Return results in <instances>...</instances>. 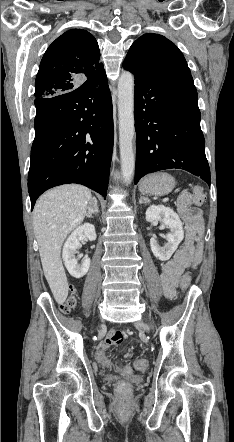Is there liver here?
I'll return each mask as SVG.
<instances>
[{"mask_svg":"<svg viewBox=\"0 0 234 442\" xmlns=\"http://www.w3.org/2000/svg\"><path fill=\"white\" fill-rule=\"evenodd\" d=\"M91 191L78 184L53 188L34 207L33 228L44 275L58 304L68 296V281L61 260V246L87 214Z\"/></svg>","mask_w":234,"mask_h":442,"instance_id":"6515ba94","label":"liver"}]
</instances>
